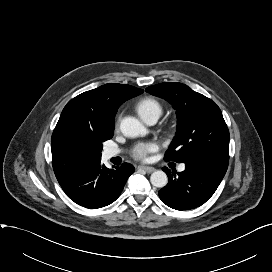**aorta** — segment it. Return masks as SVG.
<instances>
[{
  "label": "aorta",
  "mask_w": 272,
  "mask_h": 272,
  "mask_svg": "<svg viewBox=\"0 0 272 272\" xmlns=\"http://www.w3.org/2000/svg\"><path fill=\"white\" fill-rule=\"evenodd\" d=\"M121 132L127 137H138L147 133L144 125L134 117H125L120 123ZM151 184L157 188H163L168 183V177L164 171L158 170L151 174Z\"/></svg>",
  "instance_id": "aorta-1"
}]
</instances>
